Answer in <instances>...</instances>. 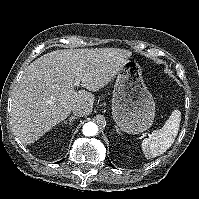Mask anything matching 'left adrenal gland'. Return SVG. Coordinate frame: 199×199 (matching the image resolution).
Returning a JSON list of instances; mask_svg holds the SVG:
<instances>
[{
  "label": "left adrenal gland",
  "mask_w": 199,
  "mask_h": 199,
  "mask_svg": "<svg viewBox=\"0 0 199 199\" xmlns=\"http://www.w3.org/2000/svg\"><path fill=\"white\" fill-rule=\"evenodd\" d=\"M114 127H115V129H116V132H117V133H120L118 127H117V126H114Z\"/></svg>",
  "instance_id": "a2214340"
}]
</instances>
